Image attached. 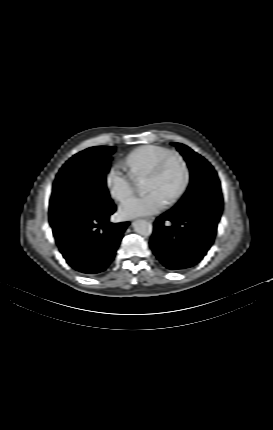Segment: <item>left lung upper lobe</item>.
Instances as JSON below:
<instances>
[{
	"mask_svg": "<svg viewBox=\"0 0 273 430\" xmlns=\"http://www.w3.org/2000/svg\"><path fill=\"white\" fill-rule=\"evenodd\" d=\"M172 144L176 146L178 151L183 155L190 169L189 187L175 207H177L182 200L190 199L193 195L203 191H212L221 194L220 181L210 163L186 145L180 143Z\"/></svg>",
	"mask_w": 273,
	"mask_h": 430,
	"instance_id": "5c2ea615",
	"label": "left lung upper lobe"
}]
</instances>
